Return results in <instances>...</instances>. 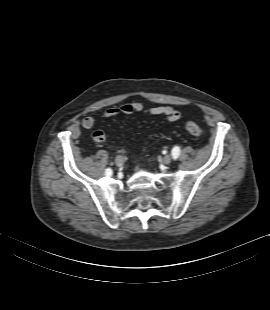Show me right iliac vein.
Wrapping results in <instances>:
<instances>
[{"label":"right iliac vein","instance_id":"right-iliac-vein-1","mask_svg":"<svg viewBox=\"0 0 270 310\" xmlns=\"http://www.w3.org/2000/svg\"><path fill=\"white\" fill-rule=\"evenodd\" d=\"M124 162V158L122 156H117L115 159V163L117 166H122Z\"/></svg>","mask_w":270,"mask_h":310}]
</instances>
